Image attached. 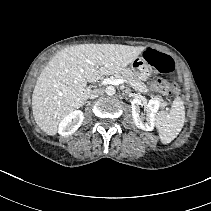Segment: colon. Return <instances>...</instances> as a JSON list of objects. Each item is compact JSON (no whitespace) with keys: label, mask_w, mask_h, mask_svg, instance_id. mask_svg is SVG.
Returning <instances> with one entry per match:
<instances>
[{"label":"colon","mask_w":211,"mask_h":211,"mask_svg":"<svg viewBox=\"0 0 211 211\" xmlns=\"http://www.w3.org/2000/svg\"><path fill=\"white\" fill-rule=\"evenodd\" d=\"M145 60L158 72L169 74L174 71V60L167 54L158 52L154 49H148L144 52ZM155 91L164 95H176L179 93V85L177 82H168L163 79L157 80Z\"/></svg>","instance_id":"1"}]
</instances>
